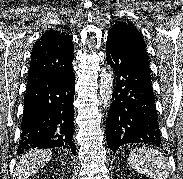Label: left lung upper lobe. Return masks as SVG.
Instances as JSON below:
<instances>
[{"instance_id":"5c2ea615","label":"left lung upper lobe","mask_w":183,"mask_h":179,"mask_svg":"<svg viewBox=\"0 0 183 179\" xmlns=\"http://www.w3.org/2000/svg\"><path fill=\"white\" fill-rule=\"evenodd\" d=\"M109 33L118 34L121 38L133 44H138L147 56L143 37L132 23L118 22L111 28Z\"/></svg>"}]
</instances>
